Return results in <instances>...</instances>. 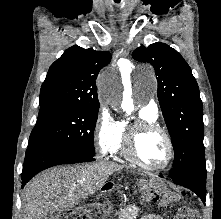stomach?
I'll use <instances>...</instances> for the list:
<instances>
[{
	"label": "stomach",
	"instance_id": "stomach-1",
	"mask_svg": "<svg viewBox=\"0 0 221 219\" xmlns=\"http://www.w3.org/2000/svg\"><path fill=\"white\" fill-rule=\"evenodd\" d=\"M141 192L144 196V204H165L167 195H171V190H167L161 178H142Z\"/></svg>",
	"mask_w": 221,
	"mask_h": 219
}]
</instances>
